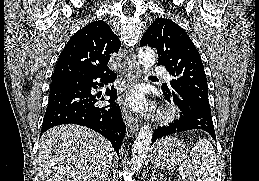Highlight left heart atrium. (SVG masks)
<instances>
[{"label":"left heart atrium","mask_w":259,"mask_h":181,"mask_svg":"<svg viewBox=\"0 0 259 181\" xmlns=\"http://www.w3.org/2000/svg\"><path fill=\"white\" fill-rule=\"evenodd\" d=\"M126 102L134 110H142L145 107V100L140 91L134 90L127 97Z\"/></svg>","instance_id":"1"}]
</instances>
